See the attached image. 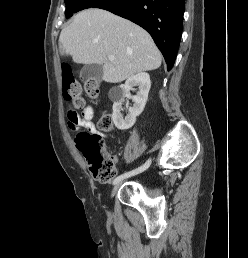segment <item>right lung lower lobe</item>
Here are the masks:
<instances>
[{
  "label": "right lung lower lobe",
  "mask_w": 248,
  "mask_h": 258,
  "mask_svg": "<svg viewBox=\"0 0 248 258\" xmlns=\"http://www.w3.org/2000/svg\"><path fill=\"white\" fill-rule=\"evenodd\" d=\"M144 28L162 52L171 70L183 25L185 0H108L96 6Z\"/></svg>",
  "instance_id": "98d812e1"
}]
</instances>
